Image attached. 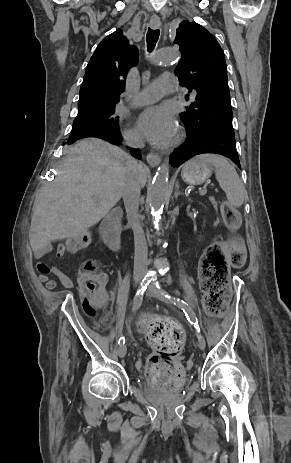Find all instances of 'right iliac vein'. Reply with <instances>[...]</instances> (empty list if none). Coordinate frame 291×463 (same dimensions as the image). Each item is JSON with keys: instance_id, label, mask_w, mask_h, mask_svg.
I'll return each mask as SVG.
<instances>
[{"instance_id": "right-iliac-vein-1", "label": "right iliac vein", "mask_w": 291, "mask_h": 463, "mask_svg": "<svg viewBox=\"0 0 291 463\" xmlns=\"http://www.w3.org/2000/svg\"><path fill=\"white\" fill-rule=\"evenodd\" d=\"M138 281H139V280H138ZM138 281H137V282H138ZM126 353H127L126 345L121 344V345L118 347V355H119L120 357H125Z\"/></svg>"}]
</instances>
